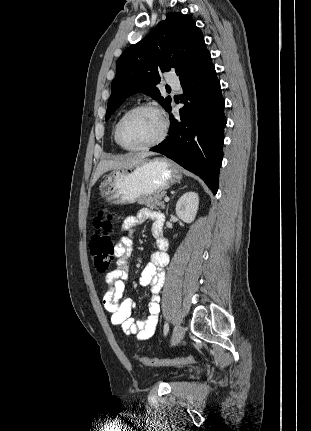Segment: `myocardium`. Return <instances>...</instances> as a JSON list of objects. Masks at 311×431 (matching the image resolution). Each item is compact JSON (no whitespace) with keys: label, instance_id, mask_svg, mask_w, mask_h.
Wrapping results in <instances>:
<instances>
[{"label":"myocardium","instance_id":"1","mask_svg":"<svg viewBox=\"0 0 311 431\" xmlns=\"http://www.w3.org/2000/svg\"><path fill=\"white\" fill-rule=\"evenodd\" d=\"M143 110L154 111V112H156L160 116L161 121H162V131H161L160 135L155 140H153L152 142H150L148 144H145V145H142V146H136V147L129 146L124 141V138H123V135H122V126H123L124 122L129 117H131L135 113H137L139 111H143ZM168 130H169V123H168V120H167L166 116L164 115V113L158 107H156L155 105L150 104V103H144V104H140V105H137V106H134V107L130 108L128 111H126L119 118V120L117 121V124H116V128H115L116 136H117V139H118L120 145L124 149L130 150V151L147 150V149H150L152 147H155V146L159 145L165 139L166 135L168 134Z\"/></svg>","mask_w":311,"mask_h":431}]
</instances>
